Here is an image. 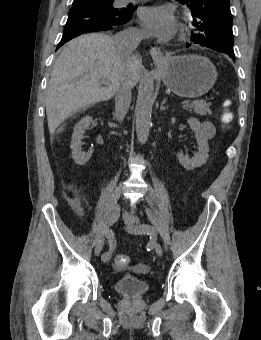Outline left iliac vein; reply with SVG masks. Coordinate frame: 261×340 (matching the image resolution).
Segmentation results:
<instances>
[{"label":"left iliac vein","mask_w":261,"mask_h":340,"mask_svg":"<svg viewBox=\"0 0 261 340\" xmlns=\"http://www.w3.org/2000/svg\"><path fill=\"white\" fill-rule=\"evenodd\" d=\"M123 219L125 222V229L129 233L139 234V235H142L145 233L139 228L141 226V223L134 216L125 212L123 214ZM152 246L154 247L156 254L161 257L163 255V249L161 245L156 240H153Z\"/></svg>","instance_id":"1"}]
</instances>
